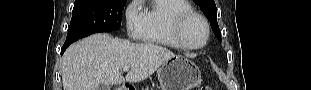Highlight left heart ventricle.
Returning a JSON list of instances; mask_svg holds the SVG:
<instances>
[{"label":"left heart ventricle","mask_w":311,"mask_h":90,"mask_svg":"<svg viewBox=\"0 0 311 90\" xmlns=\"http://www.w3.org/2000/svg\"><path fill=\"white\" fill-rule=\"evenodd\" d=\"M186 39L192 44H200L205 37V28L203 23L197 19H191L184 28Z\"/></svg>","instance_id":"left-heart-ventricle-1"}]
</instances>
